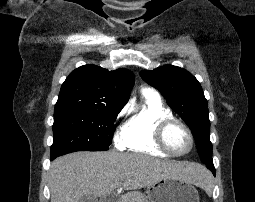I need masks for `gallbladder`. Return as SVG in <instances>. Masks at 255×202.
I'll return each instance as SVG.
<instances>
[{
    "instance_id": "gallbladder-1",
    "label": "gallbladder",
    "mask_w": 255,
    "mask_h": 202,
    "mask_svg": "<svg viewBox=\"0 0 255 202\" xmlns=\"http://www.w3.org/2000/svg\"><path fill=\"white\" fill-rule=\"evenodd\" d=\"M79 202H97V197L93 195H85L79 200Z\"/></svg>"
}]
</instances>
